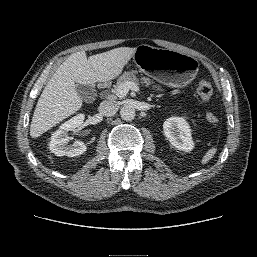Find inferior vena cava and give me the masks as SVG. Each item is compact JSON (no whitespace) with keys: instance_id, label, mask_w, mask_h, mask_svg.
I'll use <instances>...</instances> for the list:
<instances>
[{"instance_id":"602c4592","label":"inferior vena cava","mask_w":257,"mask_h":257,"mask_svg":"<svg viewBox=\"0 0 257 257\" xmlns=\"http://www.w3.org/2000/svg\"><path fill=\"white\" fill-rule=\"evenodd\" d=\"M118 104L115 101L106 100L100 103L99 105V112L103 116H112L114 115L118 110Z\"/></svg>"}]
</instances>
